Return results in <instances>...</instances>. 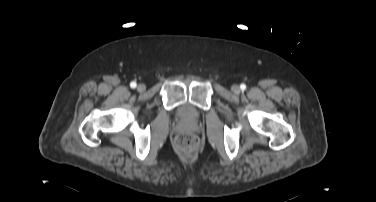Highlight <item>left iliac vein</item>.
<instances>
[{"label":"left iliac vein","instance_id":"1","mask_svg":"<svg viewBox=\"0 0 376 202\" xmlns=\"http://www.w3.org/2000/svg\"><path fill=\"white\" fill-rule=\"evenodd\" d=\"M231 89L235 94L240 92V87L238 85H233Z\"/></svg>","mask_w":376,"mask_h":202}]
</instances>
